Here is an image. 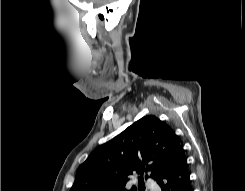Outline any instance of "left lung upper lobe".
Instances as JSON below:
<instances>
[{
	"label": "left lung upper lobe",
	"instance_id": "1",
	"mask_svg": "<svg viewBox=\"0 0 245 191\" xmlns=\"http://www.w3.org/2000/svg\"><path fill=\"white\" fill-rule=\"evenodd\" d=\"M181 149L178 136L166 123L144 116L90 154L78 168L70 191H137L135 186L126 188L130 175L140 174V186L144 172L157 180Z\"/></svg>",
	"mask_w": 245,
	"mask_h": 191
}]
</instances>
